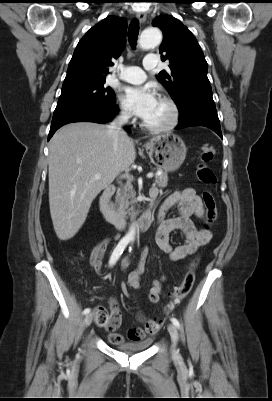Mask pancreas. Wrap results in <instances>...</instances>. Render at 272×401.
<instances>
[{
  "label": "pancreas",
  "mask_w": 272,
  "mask_h": 401,
  "mask_svg": "<svg viewBox=\"0 0 272 401\" xmlns=\"http://www.w3.org/2000/svg\"><path fill=\"white\" fill-rule=\"evenodd\" d=\"M154 184L157 185L160 188H164L168 184V176L166 172H163L160 175H155V181ZM116 205H117V211L121 215H126L129 214L131 216H134V212H130L132 210L129 209V206L134 205L137 203L136 200V192L133 189V186L131 183L125 184L122 188H120L117 191L116 194Z\"/></svg>",
  "instance_id": "pancreas-1"
}]
</instances>
